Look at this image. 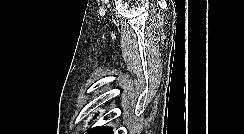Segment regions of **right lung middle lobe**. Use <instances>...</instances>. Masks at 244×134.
I'll use <instances>...</instances> for the list:
<instances>
[{
  "instance_id": "right-lung-middle-lobe-1",
  "label": "right lung middle lobe",
  "mask_w": 244,
  "mask_h": 134,
  "mask_svg": "<svg viewBox=\"0 0 244 134\" xmlns=\"http://www.w3.org/2000/svg\"><path fill=\"white\" fill-rule=\"evenodd\" d=\"M87 134H113L112 128L108 126L94 127Z\"/></svg>"
}]
</instances>
